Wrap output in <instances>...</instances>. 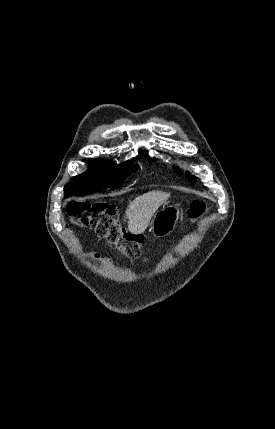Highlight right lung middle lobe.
Returning <instances> with one entry per match:
<instances>
[{
  "instance_id": "right-lung-middle-lobe-1",
  "label": "right lung middle lobe",
  "mask_w": 275,
  "mask_h": 429,
  "mask_svg": "<svg viewBox=\"0 0 275 429\" xmlns=\"http://www.w3.org/2000/svg\"><path fill=\"white\" fill-rule=\"evenodd\" d=\"M139 169V166L125 162L121 165L111 164L108 167L95 165L89 166V171L82 175H77L65 185V198L72 195L91 194L101 188H108L120 184L126 176Z\"/></svg>"
}]
</instances>
